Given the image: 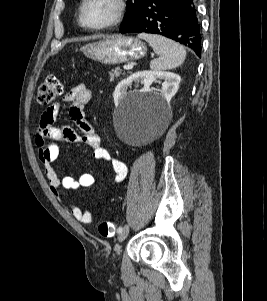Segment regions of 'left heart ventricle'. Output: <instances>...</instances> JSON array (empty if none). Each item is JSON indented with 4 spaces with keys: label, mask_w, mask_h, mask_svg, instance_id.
I'll list each match as a JSON object with an SVG mask.
<instances>
[{
    "label": "left heart ventricle",
    "mask_w": 267,
    "mask_h": 301,
    "mask_svg": "<svg viewBox=\"0 0 267 301\" xmlns=\"http://www.w3.org/2000/svg\"><path fill=\"white\" fill-rule=\"evenodd\" d=\"M113 0H89L85 7V21L89 25H99L110 20L114 14Z\"/></svg>",
    "instance_id": "left-heart-ventricle-1"
}]
</instances>
